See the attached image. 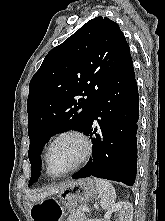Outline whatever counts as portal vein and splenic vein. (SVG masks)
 <instances>
[{
	"instance_id": "1",
	"label": "portal vein and splenic vein",
	"mask_w": 165,
	"mask_h": 221,
	"mask_svg": "<svg viewBox=\"0 0 165 221\" xmlns=\"http://www.w3.org/2000/svg\"><path fill=\"white\" fill-rule=\"evenodd\" d=\"M82 209H83V211L88 212V207L83 206Z\"/></svg>"
}]
</instances>
